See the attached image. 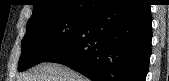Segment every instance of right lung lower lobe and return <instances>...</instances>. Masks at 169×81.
<instances>
[{"instance_id": "obj_1", "label": "right lung lower lobe", "mask_w": 169, "mask_h": 81, "mask_svg": "<svg viewBox=\"0 0 169 81\" xmlns=\"http://www.w3.org/2000/svg\"><path fill=\"white\" fill-rule=\"evenodd\" d=\"M152 17L143 0H110L79 33L43 62L66 65L92 81H144Z\"/></svg>"}]
</instances>
